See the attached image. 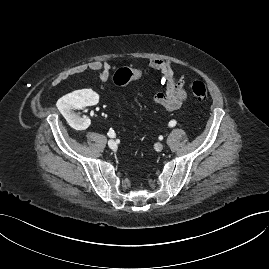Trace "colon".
<instances>
[{
	"instance_id": "1",
	"label": "colon",
	"mask_w": 269,
	"mask_h": 269,
	"mask_svg": "<svg viewBox=\"0 0 269 269\" xmlns=\"http://www.w3.org/2000/svg\"><path fill=\"white\" fill-rule=\"evenodd\" d=\"M147 73V71H145ZM135 78L134 72L127 68L117 70L113 77V82L117 87L127 85L132 79ZM193 98L196 102H204L207 98V89L204 83L195 81L191 86Z\"/></svg>"
}]
</instances>
